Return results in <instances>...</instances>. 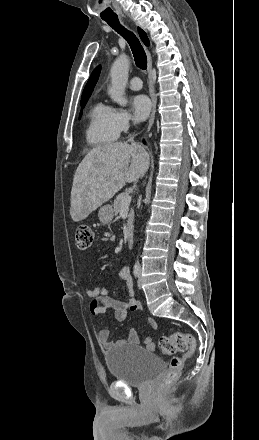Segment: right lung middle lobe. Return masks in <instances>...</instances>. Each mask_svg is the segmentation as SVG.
Here are the masks:
<instances>
[{
    "label": "right lung middle lobe",
    "mask_w": 259,
    "mask_h": 440,
    "mask_svg": "<svg viewBox=\"0 0 259 440\" xmlns=\"http://www.w3.org/2000/svg\"><path fill=\"white\" fill-rule=\"evenodd\" d=\"M87 101H88V98L81 99V107H82V108L85 106V104L87 103ZM80 115H81V114H80Z\"/></svg>",
    "instance_id": "1"
}]
</instances>
